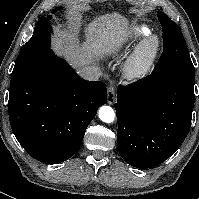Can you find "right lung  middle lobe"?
<instances>
[{"label": "right lung middle lobe", "mask_w": 199, "mask_h": 199, "mask_svg": "<svg viewBox=\"0 0 199 199\" xmlns=\"http://www.w3.org/2000/svg\"><path fill=\"white\" fill-rule=\"evenodd\" d=\"M61 7H58L52 11L55 13L59 11ZM52 16L40 17L35 25L34 33L31 39L23 46L20 54L15 62V66L12 74L22 70L32 61L45 54L50 49V33L51 26L49 20Z\"/></svg>", "instance_id": "1"}]
</instances>
